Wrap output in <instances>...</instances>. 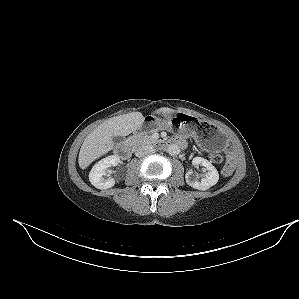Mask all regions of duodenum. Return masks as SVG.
I'll return each instance as SVG.
<instances>
[{"label":"duodenum","instance_id":"410a0bca","mask_svg":"<svg viewBox=\"0 0 299 299\" xmlns=\"http://www.w3.org/2000/svg\"><path fill=\"white\" fill-rule=\"evenodd\" d=\"M171 144H176L179 146H183V142L179 139H175L173 142L168 141H160L157 145L159 148H165L168 147ZM132 152V146L130 143H122L116 148V154L121 158H127L130 156Z\"/></svg>","mask_w":299,"mask_h":299}]
</instances>
